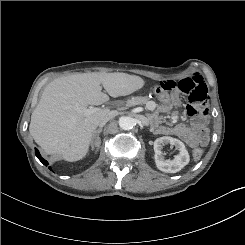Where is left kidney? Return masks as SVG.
I'll list each match as a JSON object with an SVG mask.
<instances>
[{"label": "left kidney", "mask_w": 245, "mask_h": 245, "mask_svg": "<svg viewBox=\"0 0 245 245\" xmlns=\"http://www.w3.org/2000/svg\"><path fill=\"white\" fill-rule=\"evenodd\" d=\"M170 144L175 146L179 154L174 159H165L162 153V149L165 145ZM154 159L156 167L166 173H176L184 168L190 161L189 153L184 143L176 138L163 136L155 140L154 142Z\"/></svg>", "instance_id": "obj_1"}]
</instances>
